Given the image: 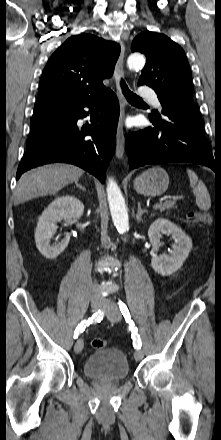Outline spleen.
Returning <instances> with one entry per match:
<instances>
[{"instance_id":"obj_1","label":"spleen","mask_w":221,"mask_h":440,"mask_svg":"<svg viewBox=\"0 0 221 440\" xmlns=\"http://www.w3.org/2000/svg\"><path fill=\"white\" fill-rule=\"evenodd\" d=\"M190 185L196 197V205L202 211H207L211 207V199L205 184L198 179V176L191 169H187Z\"/></svg>"}]
</instances>
